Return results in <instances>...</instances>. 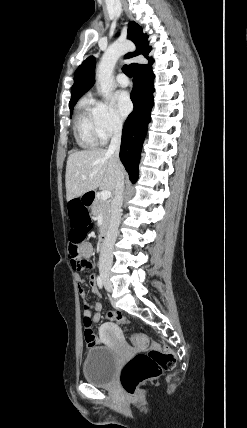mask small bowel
Returning <instances> with one entry per match:
<instances>
[{"mask_svg":"<svg viewBox=\"0 0 247 428\" xmlns=\"http://www.w3.org/2000/svg\"><path fill=\"white\" fill-rule=\"evenodd\" d=\"M92 254H93L92 245L88 242L82 243V246L79 247V257L82 259H85L89 262V266L87 267V269L93 268V264L89 260L90 257L92 256ZM71 263H72L74 269L79 270L77 263H76V260L73 257H71ZM89 285L91 288V292L95 295H98V288H97V285L95 283V279H94L93 275L90 276ZM78 292H79L80 298L82 300L84 317L90 318V320L92 322H99L101 319V309H102L101 302L96 300L95 302L90 303L86 300V293H85V290L82 286V282H80L78 284Z\"/></svg>","mask_w":247,"mask_h":428,"instance_id":"c3829d8e","label":"small bowel"}]
</instances>
